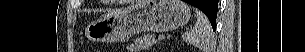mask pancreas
<instances>
[{
  "label": "pancreas",
  "mask_w": 305,
  "mask_h": 52,
  "mask_svg": "<svg viewBox=\"0 0 305 52\" xmlns=\"http://www.w3.org/2000/svg\"><path fill=\"white\" fill-rule=\"evenodd\" d=\"M157 41L155 40V37L150 34H144L138 38H136L128 47L127 49L131 52H139L141 50L147 49L154 44H156Z\"/></svg>",
  "instance_id": "pancreas-1"
}]
</instances>
